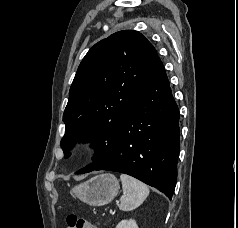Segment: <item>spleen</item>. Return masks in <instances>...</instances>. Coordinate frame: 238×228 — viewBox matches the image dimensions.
<instances>
[{
  "label": "spleen",
  "instance_id": "3e777b00",
  "mask_svg": "<svg viewBox=\"0 0 238 228\" xmlns=\"http://www.w3.org/2000/svg\"><path fill=\"white\" fill-rule=\"evenodd\" d=\"M123 197L119 206L122 211H132L139 207L149 195V188L138 179L121 174Z\"/></svg>",
  "mask_w": 238,
  "mask_h": 228
}]
</instances>
